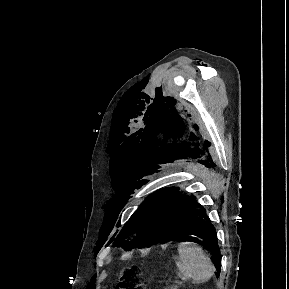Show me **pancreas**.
Wrapping results in <instances>:
<instances>
[{"label": "pancreas", "instance_id": "obj_1", "mask_svg": "<svg viewBox=\"0 0 289 289\" xmlns=\"http://www.w3.org/2000/svg\"><path fill=\"white\" fill-rule=\"evenodd\" d=\"M166 289H178V286L177 285H171V286L167 287Z\"/></svg>", "mask_w": 289, "mask_h": 289}]
</instances>
